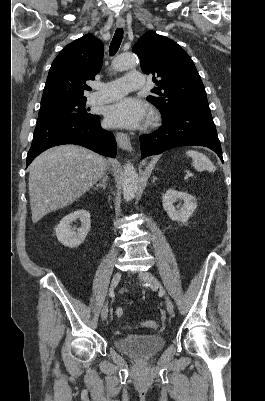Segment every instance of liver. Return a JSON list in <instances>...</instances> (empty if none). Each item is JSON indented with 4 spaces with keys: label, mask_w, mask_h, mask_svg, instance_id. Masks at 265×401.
I'll use <instances>...</instances> for the list:
<instances>
[{
    "label": "liver",
    "mask_w": 265,
    "mask_h": 401,
    "mask_svg": "<svg viewBox=\"0 0 265 401\" xmlns=\"http://www.w3.org/2000/svg\"><path fill=\"white\" fill-rule=\"evenodd\" d=\"M109 160L74 144L53 146L29 166L32 223L71 205L102 178Z\"/></svg>",
    "instance_id": "obj_1"
}]
</instances>
